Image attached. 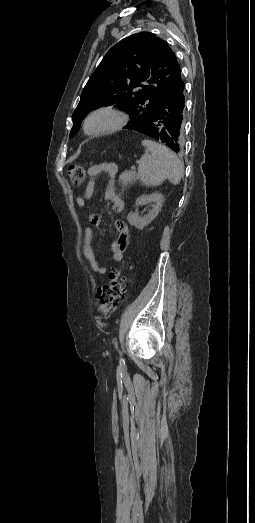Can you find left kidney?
Listing matches in <instances>:
<instances>
[{"instance_id":"obj_1","label":"left kidney","mask_w":255,"mask_h":523,"mask_svg":"<svg viewBox=\"0 0 255 523\" xmlns=\"http://www.w3.org/2000/svg\"><path fill=\"white\" fill-rule=\"evenodd\" d=\"M150 202H155V204H153L152 210H149L147 216H144V218H139V216L134 214V212H130V214H128L127 220L130 222L131 226H135V228H138V230H143L144 226H148L152 220H155L156 216H158L162 208L164 198L161 196V194L140 196V198H137L136 200V206H139V204H150Z\"/></svg>"}]
</instances>
